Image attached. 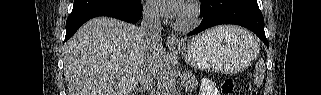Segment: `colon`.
<instances>
[{
	"label": "colon",
	"mask_w": 321,
	"mask_h": 95,
	"mask_svg": "<svg viewBox=\"0 0 321 95\" xmlns=\"http://www.w3.org/2000/svg\"><path fill=\"white\" fill-rule=\"evenodd\" d=\"M221 94H233L235 91V82L232 79H226L220 87Z\"/></svg>",
	"instance_id": "obj_1"
}]
</instances>
